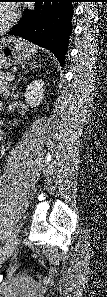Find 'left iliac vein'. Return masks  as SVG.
Instances as JSON below:
<instances>
[{
	"label": "left iliac vein",
	"mask_w": 107,
	"mask_h": 297,
	"mask_svg": "<svg viewBox=\"0 0 107 297\" xmlns=\"http://www.w3.org/2000/svg\"><path fill=\"white\" fill-rule=\"evenodd\" d=\"M17 242H18V238L17 237H12L10 239V242L5 247V251H7L8 255L14 250V248L17 245Z\"/></svg>",
	"instance_id": "obj_1"
}]
</instances>
